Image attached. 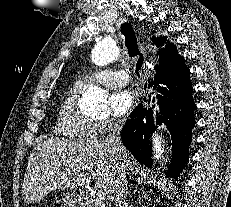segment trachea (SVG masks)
I'll return each instance as SVG.
<instances>
[{
  "label": "trachea",
  "instance_id": "3493384b",
  "mask_svg": "<svg viewBox=\"0 0 231 207\" xmlns=\"http://www.w3.org/2000/svg\"><path fill=\"white\" fill-rule=\"evenodd\" d=\"M121 33L125 36V45L129 54V57H139L136 63V74L139 76V71L144 62V57L140 53L137 43V38L135 35V31L131 24L128 22L123 23L121 25Z\"/></svg>",
  "mask_w": 231,
  "mask_h": 207
}]
</instances>
